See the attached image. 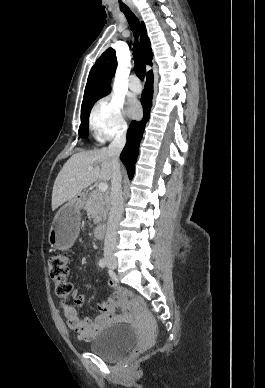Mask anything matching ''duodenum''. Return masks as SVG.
<instances>
[{"mask_svg": "<svg viewBox=\"0 0 265 388\" xmlns=\"http://www.w3.org/2000/svg\"><path fill=\"white\" fill-rule=\"evenodd\" d=\"M83 195L79 196V199L82 200ZM106 232V223H100L95 229V235L97 238H102Z\"/></svg>", "mask_w": 265, "mask_h": 388, "instance_id": "obj_1", "label": "duodenum"}]
</instances>
